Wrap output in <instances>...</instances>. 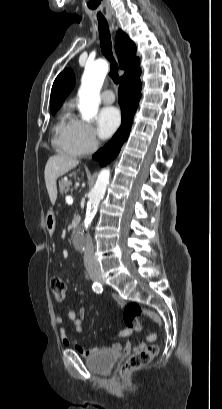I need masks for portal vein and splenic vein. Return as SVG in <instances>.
Here are the masks:
<instances>
[{"instance_id": "1", "label": "portal vein and splenic vein", "mask_w": 222, "mask_h": 409, "mask_svg": "<svg viewBox=\"0 0 222 409\" xmlns=\"http://www.w3.org/2000/svg\"><path fill=\"white\" fill-rule=\"evenodd\" d=\"M72 202H73V199L70 200V203H72Z\"/></svg>"}]
</instances>
